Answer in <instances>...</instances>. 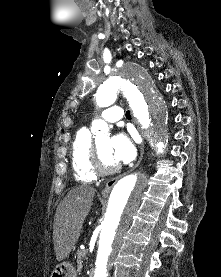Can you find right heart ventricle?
Segmentation results:
<instances>
[{
	"label": "right heart ventricle",
	"mask_w": 221,
	"mask_h": 277,
	"mask_svg": "<svg viewBox=\"0 0 221 277\" xmlns=\"http://www.w3.org/2000/svg\"><path fill=\"white\" fill-rule=\"evenodd\" d=\"M92 136L87 128H81L75 135L71 148V164L76 181L90 183L96 179L91 166Z\"/></svg>",
	"instance_id": "1"
}]
</instances>
